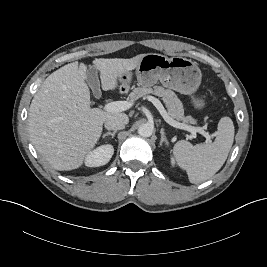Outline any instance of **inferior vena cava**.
<instances>
[{
    "label": "inferior vena cava",
    "instance_id": "602c4592",
    "mask_svg": "<svg viewBox=\"0 0 267 267\" xmlns=\"http://www.w3.org/2000/svg\"><path fill=\"white\" fill-rule=\"evenodd\" d=\"M126 121L121 118H110L105 121V128L107 130H121L125 128Z\"/></svg>",
    "mask_w": 267,
    "mask_h": 267
}]
</instances>
